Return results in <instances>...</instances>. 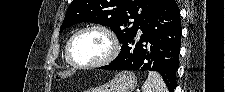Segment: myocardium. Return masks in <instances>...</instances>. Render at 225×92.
I'll use <instances>...</instances> for the list:
<instances>
[{"mask_svg":"<svg viewBox=\"0 0 225 92\" xmlns=\"http://www.w3.org/2000/svg\"><path fill=\"white\" fill-rule=\"evenodd\" d=\"M87 31H99V32L103 33L109 41L110 51L105 58H103L97 62L90 63V64H81V63L76 62L73 59L72 54H71V48H72V45H73V42L75 41V39L79 35H81L84 32H87ZM118 53H119V43H118L116 35L110 28L103 26V25H96V24L88 25V26H85V27L79 29L70 37V39L68 40L67 45H66V59H67L68 63L70 65H72L73 67L79 68V69L99 68V67L108 65L117 57Z\"/></svg>","mask_w":225,"mask_h":92,"instance_id":"1","label":"myocardium"}]
</instances>
